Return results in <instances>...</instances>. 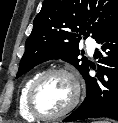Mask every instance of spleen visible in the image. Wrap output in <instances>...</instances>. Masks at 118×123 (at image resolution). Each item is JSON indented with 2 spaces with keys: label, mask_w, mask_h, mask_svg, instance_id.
Here are the masks:
<instances>
[{
  "label": "spleen",
  "mask_w": 118,
  "mask_h": 123,
  "mask_svg": "<svg viewBox=\"0 0 118 123\" xmlns=\"http://www.w3.org/2000/svg\"><path fill=\"white\" fill-rule=\"evenodd\" d=\"M94 123H109L108 121H98V122H94Z\"/></svg>",
  "instance_id": "3e777b00"
}]
</instances>
